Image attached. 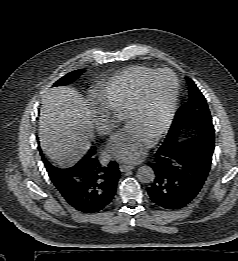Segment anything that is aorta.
<instances>
[{"instance_id":"1","label":"aorta","mask_w":238,"mask_h":261,"mask_svg":"<svg viewBox=\"0 0 238 261\" xmlns=\"http://www.w3.org/2000/svg\"><path fill=\"white\" fill-rule=\"evenodd\" d=\"M137 178L142 183H151L155 179L154 170L150 166H141L138 168Z\"/></svg>"}]
</instances>
